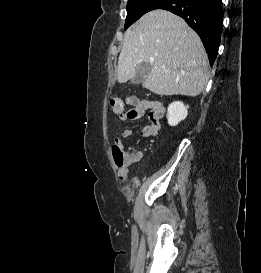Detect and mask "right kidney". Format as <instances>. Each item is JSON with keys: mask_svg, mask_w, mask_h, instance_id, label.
Returning <instances> with one entry per match:
<instances>
[{"mask_svg": "<svg viewBox=\"0 0 261 273\" xmlns=\"http://www.w3.org/2000/svg\"><path fill=\"white\" fill-rule=\"evenodd\" d=\"M188 106L182 102L176 101L169 105L167 110V119L170 126H176L179 122L184 120L188 115Z\"/></svg>", "mask_w": 261, "mask_h": 273, "instance_id": "obj_1", "label": "right kidney"}]
</instances>
